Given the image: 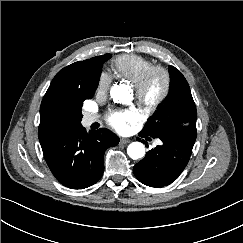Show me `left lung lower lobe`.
Returning a JSON list of instances; mask_svg holds the SVG:
<instances>
[{
	"mask_svg": "<svg viewBox=\"0 0 243 243\" xmlns=\"http://www.w3.org/2000/svg\"><path fill=\"white\" fill-rule=\"evenodd\" d=\"M140 135H143L140 133ZM160 146L147 152L133 168L136 178L150 187H164L175 181L186 167L193 146L173 137L163 136Z\"/></svg>",
	"mask_w": 243,
	"mask_h": 243,
	"instance_id": "1",
	"label": "left lung lower lobe"
}]
</instances>
